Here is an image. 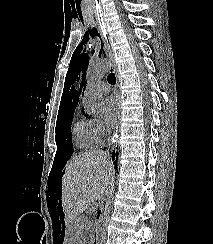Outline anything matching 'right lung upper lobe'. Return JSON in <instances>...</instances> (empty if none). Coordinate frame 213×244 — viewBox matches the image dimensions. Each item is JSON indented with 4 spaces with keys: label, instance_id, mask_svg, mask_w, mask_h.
<instances>
[{
    "label": "right lung upper lobe",
    "instance_id": "obj_1",
    "mask_svg": "<svg viewBox=\"0 0 213 244\" xmlns=\"http://www.w3.org/2000/svg\"><path fill=\"white\" fill-rule=\"evenodd\" d=\"M78 96H79V93L78 92H74V97H72V99L65 105H60V108H59V112H58V115H62L66 112H69V111H72V110H75L77 104H78Z\"/></svg>",
    "mask_w": 213,
    "mask_h": 244
}]
</instances>
